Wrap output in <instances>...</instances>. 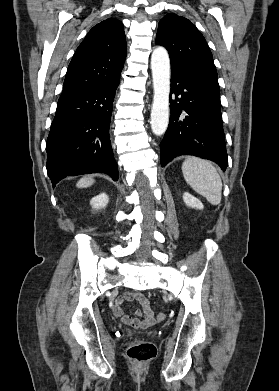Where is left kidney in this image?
I'll return each instance as SVG.
<instances>
[{
	"mask_svg": "<svg viewBox=\"0 0 279 391\" xmlns=\"http://www.w3.org/2000/svg\"><path fill=\"white\" fill-rule=\"evenodd\" d=\"M183 200L188 207L196 208L199 210L204 208L202 202L188 192H185L183 194Z\"/></svg>",
	"mask_w": 279,
	"mask_h": 391,
	"instance_id": "1",
	"label": "left kidney"
}]
</instances>
